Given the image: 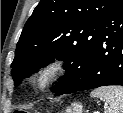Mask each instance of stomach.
Returning a JSON list of instances; mask_svg holds the SVG:
<instances>
[{
  "instance_id": "stomach-1",
  "label": "stomach",
  "mask_w": 123,
  "mask_h": 113,
  "mask_svg": "<svg viewBox=\"0 0 123 113\" xmlns=\"http://www.w3.org/2000/svg\"><path fill=\"white\" fill-rule=\"evenodd\" d=\"M65 113H83V105L81 103H72L65 110Z\"/></svg>"
}]
</instances>
